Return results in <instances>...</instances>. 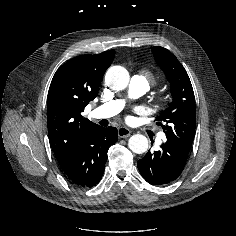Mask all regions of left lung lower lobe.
<instances>
[{
	"label": "left lung lower lobe",
	"mask_w": 236,
	"mask_h": 236,
	"mask_svg": "<svg viewBox=\"0 0 236 236\" xmlns=\"http://www.w3.org/2000/svg\"><path fill=\"white\" fill-rule=\"evenodd\" d=\"M188 153L166 142L159 151L151 152L138 160L142 177L152 185H164L176 180L187 162Z\"/></svg>",
	"instance_id": "0a47b994"
}]
</instances>
